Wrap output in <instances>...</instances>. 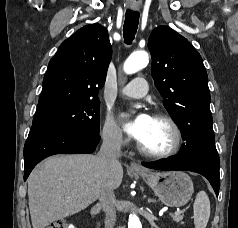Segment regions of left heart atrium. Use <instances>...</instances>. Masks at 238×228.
<instances>
[{"instance_id": "39dd6f15", "label": "left heart atrium", "mask_w": 238, "mask_h": 228, "mask_svg": "<svg viewBox=\"0 0 238 228\" xmlns=\"http://www.w3.org/2000/svg\"><path fill=\"white\" fill-rule=\"evenodd\" d=\"M125 123L124 128L126 132L133 138L138 141L143 137L149 123L151 121V117L146 113H140L133 118H128L124 116Z\"/></svg>"}]
</instances>
